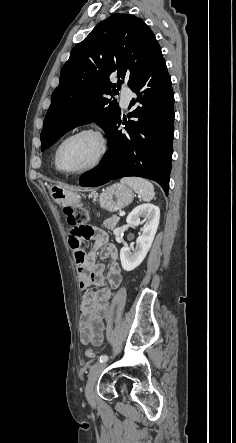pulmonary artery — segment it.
<instances>
[{
	"label": "pulmonary artery",
	"instance_id": "e3ab8cb5",
	"mask_svg": "<svg viewBox=\"0 0 236 443\" xmlns=\"http://www.w3.org/2000/svg\"><path fill=\"white\" fill-rule=\"evenodd\" d=\"M132 96H133V94L130 91H124L122 93V105L124 108L128 107Z\"/></svg>",
	"mask_w": 236,
	"mask_h": 443
}]
</instances>
